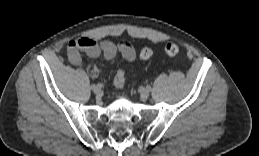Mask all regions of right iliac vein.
I'll return each instance as SVG.
<instances>
[{"instance_id": "right-iliac-vein-1", "label": "right iliac vein", "mask_w": 259, "mask_h": 156, "mask_svg": "<svg viewBox=\"0 0 259 156\" xmlns=\"http://www.w3.org/2000/svg\"><path fill=\"white\" fill-rule=\"evenodd\" d=\"M93 92L95 94H99L101 92V86L100 85H95V87H93Z\"/></svg>"}]
</instances>
